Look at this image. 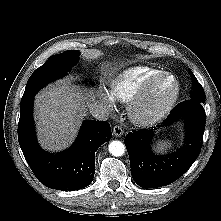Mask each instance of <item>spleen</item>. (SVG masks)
<instances>
[{
	"label": "spleen",
	"instance_id": "obj_1",
	"mask_svg": "<svg viewBox=\"0 0 221 221\" xmlns=\"http://www.w3.org/2000/svg\"><path fill=\"white\" fill-rule=\"evenodd\" d=\"M171 147V143L169 141H159L157 144V150L160 152L166 150Z\"/></svg>",
	"mask_w": 221,
	"mask_h": 221
}]
</instances>
